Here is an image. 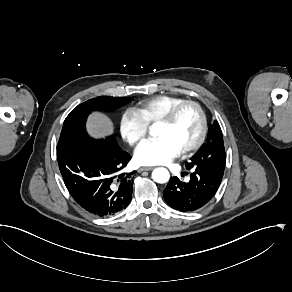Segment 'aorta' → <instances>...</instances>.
Here are the masks:
<instances>
[{
  "mask_svg": "<svg viewBox=\"0 0 292 292\" xmlns=\"http://www.w3.org/2000/svg\"><path fill=\"white\" fill-rule=\"evenodd\" d=\"M153 133H154V126H152L150 129V134H153ZM152 178L155 182L162 184V183H166L169 180L170 175L166 168L159 167L153 170Z\"/></svg>",
  "mask_w": 292,
  "mask_h": 292,
  "instance_id": "obj_1",
  "label": "aorta"
}]
</instances>
